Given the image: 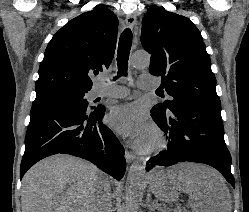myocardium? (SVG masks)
Returning a JSON list of instances; mask_svg holds the SVG:
<instances>
[{
	"label": "myocardium",
	"mask_w": 249,
	"mask_h": 212,
	"mask_svg": "<svg viewBox=\"0 0 249 212\" xmlns=\"http://www.w3.org/2000/svg\"><path fill=\"white\" fill-rule=\"evenodd\" d=\"M149 132L153 137V141L150 144L145 145L142 152L147 155L162 152L167 146V139L164 132L156 124H151L149 126Z\"/></svg>",
	"instance_id": "1"
}]
</instances>
